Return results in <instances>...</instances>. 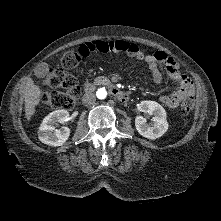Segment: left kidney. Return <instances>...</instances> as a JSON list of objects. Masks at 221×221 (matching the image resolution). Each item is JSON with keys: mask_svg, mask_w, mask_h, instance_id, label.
<instances>
[{"mask_svg": "<svg viewBox=\"0 0 221 221\" xmlns=\"http://www.w3.org/2000/svg\"><path fill=\"white\" fill-rule=\"evenodd\" d=\"M137 109L141 112L153 115L151 124L146 123V119L142 116L135 118L136 130L145 138L155 140L168 130V122L166 119L165 109L155 101H142L138 104Z\"/></svg>", "mask_w": 221, "mask_h": 221, "instance_id": "1", "label": "left kidney"}]
</instances>
